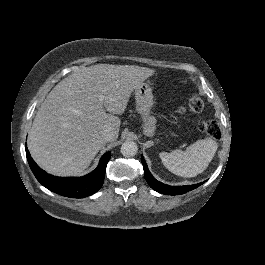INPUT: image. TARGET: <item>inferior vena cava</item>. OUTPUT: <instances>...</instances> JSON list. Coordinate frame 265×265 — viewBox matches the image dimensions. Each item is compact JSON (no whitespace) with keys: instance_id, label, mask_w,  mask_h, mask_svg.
Masks as SVG:
<instances>
[{"instance_id":"inferior-vena-cava-1","label":"inferior vena cava","mask_w":265,"mask_h":265,"mask_svg":"<svg viewBox=\"0 0 265 265\" xmlns=\"http://www.w3.org/2000/svg\"><path fill=\"white\" fill-rule=\"evenodd\" d=\"M103 135H104L105 141H110L113 138V132L109 130L104 131Z\"/></svg>"}]
</instances>
